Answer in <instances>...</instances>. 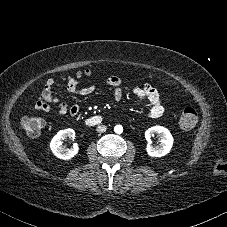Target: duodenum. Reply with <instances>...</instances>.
Returning a JSON list of instances; mask_svg holds the SVG:
<instances>
[{
	"instance_id": "410a0bca",
	"label": "duodenum",
	"mask_w": 227,
	"mask_h": 227,
	"mask_svg": "<svg viewBox=\"0 0 227 227\" xmlns=\"http://www.w3.org/2000/svg\"><path fill=\"white\" fill-rule=\"evenodd\" d=\"M102 117L101 116H91L89 118H87L85 120V123L88 125V126H95L97 124H100L102 122Z\"/></svg>"
}]
</instances>
